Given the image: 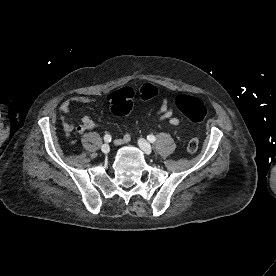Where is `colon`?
Returning a JSON list of instances; mask_svg holds the SVG:
<instances>
[{"mask_svg":"<svg viewBox=\"0 0 276 276\" xmlns=\"http://www.w3.org/2000/svg\"><path fill=\"white\" fill-rule=\"evenodd\" d=\"M156 95V88L151 84L143 85L139 90L142 100H149ZM135 92L131 88H124L109 97L111 112L119 117L127 116L134 107ZM177 109L192 123H199L206 114V108L201 100L196 97L179 94L175 98ZM189 153H195L198 149V140L191 139L186 147Z\"/></svg>","mask_w":276,"mask_h":276,"instance_id":"colon-1","label":"colon"}]
</instances>
